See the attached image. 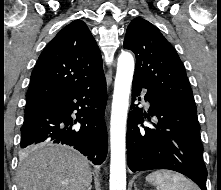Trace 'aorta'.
<instances>
[{
    "label": "aorta",
    "instance_id": "obj_1",
    "mask_svg": "<svg viewBox=\"0 0 221 190\" xmlns=\"http://www.w3.org/2000/svg\"><path fill=\"white\" fill-rule=\"evenodd\" d=\"M134 59L128 52L118 57L110 121V190H126L125 142Z\"/></svg>",
    "mask_w": 221,
    "mask_h": 190
}]
</instances>
